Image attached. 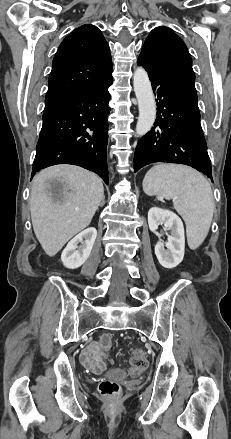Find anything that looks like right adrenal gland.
Masks as SVG:
<instances>
[{
	"label": "right adrenal gland",
	"mask_w": 231,
	"mask_h": 439,
	"mask_svg": "<svg viewBox=\"0 0 231 439\" xmlns=\"http://www.w3.org/2000/svg\"><path fill=\"white\" fill-rule=\"evenodd\" d=\"M104 203H105V200H104V198H103V199H102V202H101V206H103Z\"/></svg>",
	"instance_id": "obj_1"
}]
</instances>
